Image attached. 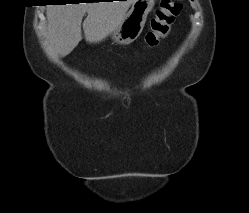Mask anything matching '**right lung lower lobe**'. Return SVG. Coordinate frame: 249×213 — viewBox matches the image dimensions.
Wrapping results in <instances>:
<instances>
[{"label":"right lung lower lobe","mask_w":249,"mask_h":213,"mask_svg":"<svg viewBox=\"0 0 249 213\" xmlns=\"http://www.w3.org/2000/svg\"><path fill=\"white\" fill-rule=\"evenodd\" d=\"M91 1H94V0H91ZM55 2H58V3H65L64 1H55ZM93 3V2H92Z\"/></svg>","instance_id":"98d812e1"}]
</instances>
